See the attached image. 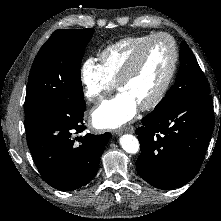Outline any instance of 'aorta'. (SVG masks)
<instances>
[{
    "instance_id": "1",
    "label": "aorta",
    "mask_w": 221,
    "mask_h": 221,
    "mask_svg": "<svg viewBox=\"0 0 221 221\" xmlns=\"http://www.w3.org/2000/svg\"><path fill=\"white\" fill-rule=\"evenodd\" d=\"M120 145L127 153L135 154L139 150V141L131 134L121 136Z\"/></svg>"
}]
</instances>
